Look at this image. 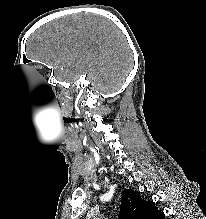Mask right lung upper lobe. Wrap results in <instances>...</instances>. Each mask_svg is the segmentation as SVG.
I'll use <instances>...</instances> for the list:
<instances>
[{
	"mask_svg": "<svg viewBox=\"0 0 206 219\" xmlns=\"http://www.w3.org/2000/svg\"><path fill=\"white\" fill-rule=\"evenodd\" d=\"M120 207L118 219H165L154 202L143 200L137 191L123 190Z\"/></svg>",
	"mask_w": 206,
	"mask_h": 219,
	"instance_id": "cb5924a9",
	"label": "right lung upper lobe"
}]
</instances>
